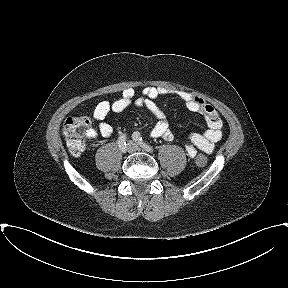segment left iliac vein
<instances>
[{
	"label": "left iliac vein",
	"instance_id": "1",
	"mask_svg": "<svg viewBox=\"0 0 288 288\" xmlns=\"http://www.w3.org/2000/svg\"><path fill=\"white\" fill-rule=\"evenodd\" d=\"M134 145V150H140V148L137 146V145H135V144H133Z\"/></svg>",
	"mask_w": 288,
	"mask_h": 288
}]
</instances>
